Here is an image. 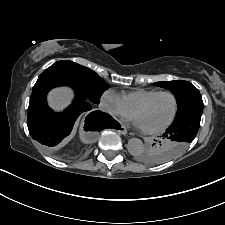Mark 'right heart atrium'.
Returning a JSON list of instances; mask_svg holds the SVG:
<instances>
[{
	"label": "right heart atrium",
	"mask_w": 225,
	"mask_h": 225,
	"mask_svg": "<svg viewBox=\"0 0 225 225\" xmlns=\"http://www.w3.org/2000/svg\"><path fill=\"white\" fill-rule=\"evenodd\" d=\"M104 110L116 117H129L132 111L126 106L123 98L114 90H106L101 96Z\"/></svg>",
	"instance_id": "obj_1"
}]
</instances>
